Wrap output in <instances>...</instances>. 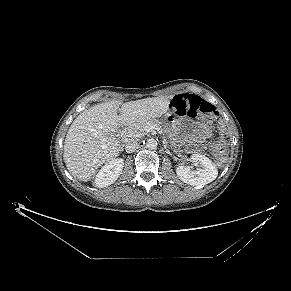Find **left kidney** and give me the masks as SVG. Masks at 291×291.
Instances as JSON below:
<instances>
[{"label":"left kidney","instance_id":"obj_1","mask_svg":"<svg viewBox=\"0 0 291 291\" xmlns=\"http://www.w3.org/2000/svg\"><path fill=\"white\" fill-rule=\"evenodd\" d=\"M191 160L200 163L201 168L193 170L190 166H178L176 174L181 181L193 186H202L216 179L218 170L209 158L201 154H193Z\"/></svg>","mask_w":291,"mask_h":291}]
</instances>
